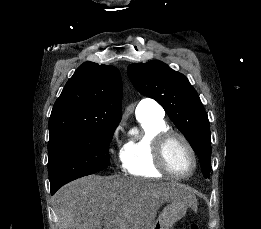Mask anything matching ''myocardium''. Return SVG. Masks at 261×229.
<instances>
[{
	"label": "myocardium",
	"instance_id": "obj_1",
	"mask_svg": "<svg viewBox=\"0 0 261 229\" xmlns=\"http://www.w3.org/2000/svg\"><path fill=\"white\" fill-rule=\"evenodd\" d=\"M175 140H180L186 146L192 159L191 168L186 173L183 174H179L175 172L170 167L167 159L168 147ZM154 158L159 168L165 174L175 179H184L191 176L197 167L196 152L191 142L184 135L172 130L164 131L157 136L154 144Z\"/></svg>",
	"mask_w": 261,
	"mask_h": 229
}]
</instances>
